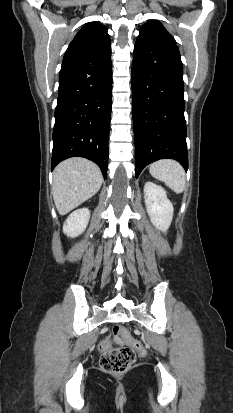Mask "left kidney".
Returning a JSON list of instances; mask_svg holds the SVG:
<instances>
[{
	"mask_svg": "<svg viewBox=\"0 0 233 413\" xmlns=\"http://www.w3.org/2000/svg\"><path fill=\"white\" fill-rule=\"evenodd\" d=\"M144 199L152 224L162 232H166L172 222L174 210L165 190L153 182H146Z\"/></svg>",
	"mask_w": 233,
	"mask_h": 413,
	"instance_id": "obj_1",
	"label": "left kidney"
}]
</instances>
